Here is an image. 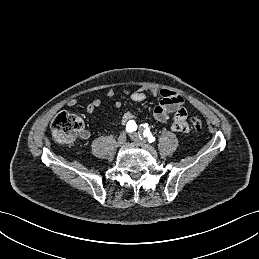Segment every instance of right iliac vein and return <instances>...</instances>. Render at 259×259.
Wrapping results in <instances>:
<instances>
[{
	"label": "right iliac vein",
	"mask_w": 259,
	"mask_h": 259,
	"mask_svg": "<svg viewBox=\"0 0 259 259\" xmlns=\"http://www.w3.org/2000/svg\"><path fill=\"white\" fill-rule=\"evenodd\" d=\"M126 140H127L126 134L122 133V134H120V136L117 139V144L119 146H121V145L125 144Z\"/></svg>",
	"instance_id": "1"
}]
</instances>
